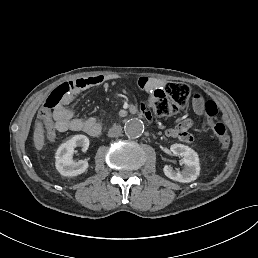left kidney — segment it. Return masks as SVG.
<instances>
[{"instance_id":"left-kidney-1","label":"left kidney","mask_w":258,"mask_h":258,"mask_svg":"<svg viewBox=\"0 0 258 258\" xmlns=\"http://www.w3.org/2000/svg\"><path fill=\"white\" fill-rule=\"evenodd\" d=\"M170 151L174 156L180 157L186 167L183 171H176L168 164H165L163 168L164 174L168 178L179 182H191L196 180L200 175L201 169L198 154L183 144H173L170 147Z\"/></svg>"}]
</instances>
